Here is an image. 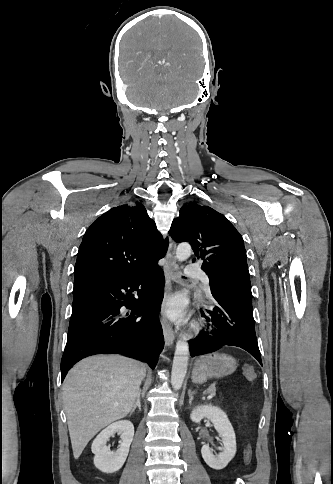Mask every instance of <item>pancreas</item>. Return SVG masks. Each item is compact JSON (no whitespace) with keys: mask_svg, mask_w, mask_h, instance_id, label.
I'll list each match as a JSON object with an SVG mask.
<instances>
[{"mask_svg":"<svg viewBox=\"0 0 333 484\" xmlns=\"http://www.w3.org/2000/svg\"><path fill=\"white\" fill-rule=\"evenodd\" d=\"M215 391H216L215 385H214V384H212V385H210V386H209V388H208V389L205 391V393H206V394H210V395H212V394H214V395H215Z\"/></svg>","mask_w":333,"mask_h":484,"instance_id":"pancreas-1","label":"pancreas"}]
</instances>
